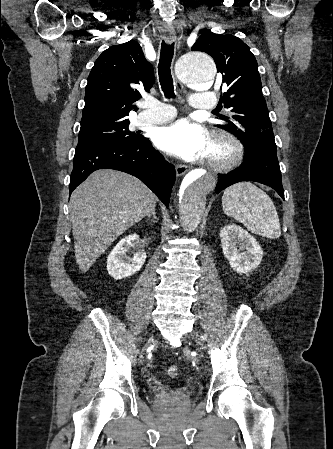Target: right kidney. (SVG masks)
I'll list each match as a JSON object with an SVG mask.
<instances>
[{"label": "right kidney", "instance_id": "right-kidney-1", "mask_svg": "<svg viewBox=\"0 0 333 449\" xmlns=\"http://www.w3.org/2000/svg\"><path fill=\"white\" fill-rule=\"evenodd\" d=\"M132 248H137V251L130 258L126 252ZM146 257L144 244L140 242L139 236L137 234L129 235L110 252L107 258V271L116 280L132 276L142 268Z\"/></svg>", "mask_w": 333, "mask_h": 449}]
</instances>
